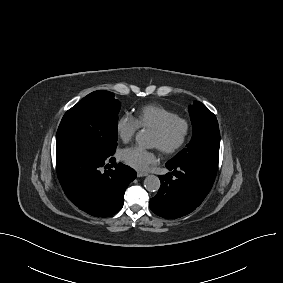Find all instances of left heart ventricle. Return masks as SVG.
<instances>
[{"instance_id": "b2bd125f", "label": "left heart ventricle", "mask_w": 283, "mask_h": 283, "mask_svg": "<svg viewBox=\"0 0 283 283\" xmlns=\"http://www.w3.org/2000/svg\"><path fill=\"white\" fill-rule=\"evenodd\" d=\"M181 134H182V126L181 125H175L171 129L169 134L164 138L160 137L155 132H153L151 145L153 147H157L159 149L169 147V146L175 144L179 140V138L181 137Z\"/></svg>"}]
</instances>
